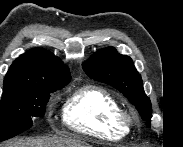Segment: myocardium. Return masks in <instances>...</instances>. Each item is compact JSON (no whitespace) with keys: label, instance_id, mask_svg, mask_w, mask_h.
<instances>
[{"label":"myocardium","instance_id":"obj_1","mask_svg":"<svg viewBox=\"0 0 183 147\" xmlns=\"http://www.w3.org/2000/svg\"><path fill=\"white\" fill-rule=\"evenodd\" d=\"M115 121L121 127L129 129L135 124L136 116L132 112L120 108L115 115Z\"/></svg>","mask_w":183,"mask_h":147}]
</instances>
